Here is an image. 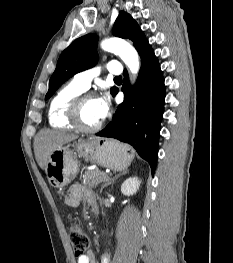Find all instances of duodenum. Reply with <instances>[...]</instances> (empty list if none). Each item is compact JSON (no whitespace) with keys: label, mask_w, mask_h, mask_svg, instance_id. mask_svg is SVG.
Listing matches in <instances>:
<instances>
[{"label":"duodenum","mask_w":233,"mask_h":263,"mask_svg":"<svg viewBox=\"0 0 233 263\" xmlns=\"http://www.w3.org/2000/svg\"><path fill=\"white\" fill-rule=\"evenodd\" d=\"M95 213H96V214L98 213V209H95Z\"/></svg>","instance_id":"1"}]
</instances>
